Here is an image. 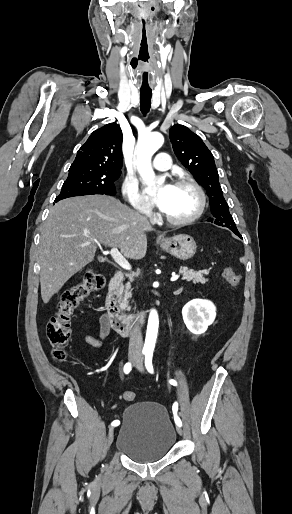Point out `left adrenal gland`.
<instances>
[{"label":"left adrenal gland","instance_id":"1","mask_svg":"<svg viewBox=\"0 0 292 514\" xmlns=\"http://www.w3.org/2000/svg\"><path fill=\"white\" fill-rule=\"evenodd\" d=\"M180 292H182V288H180V290H177V292H174V294H180Z\"/></svg>","mask_w":292,"mask_h":514}]
</instances>
